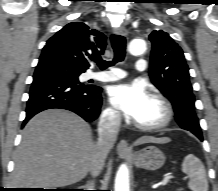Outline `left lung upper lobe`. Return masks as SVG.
Here are the masks:
<instances>
[{"label": "left lung upper lobe", "instance_id": "5c2ea615", "mask_svg": "<svg viewBox=\"0 0 218 191\" xmlns=\"http://www.w3.org/2000/svg\"><path fill=\"white\" fill-rule=\"evenodd\" d=\"M149 40L152 43L149 72L152 83L171 101L181 128L202 134L182 49L162 30L152 31Z\"/></svg>", "mask_w": 218, "mask_h": 191}]
</instances>
